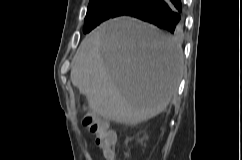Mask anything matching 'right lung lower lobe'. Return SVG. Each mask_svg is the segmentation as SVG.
<instances>
[{
    "instance_id": "1",
    "label": "right lung lower lobe",
    "mask_w": 242,
    "mask_h": 160,
    "mask_svg": "<svg viewBox=\"0 0 242 160\" xmlns=\"http://www.w3.org/2000/svg\"><path fill=\"white\" fill-rule=\"evenodd\" d=\"M125 15L151 23L171 34L179 35L182 33L181 0H143Z\"/></svg>"
}]
</instances>
